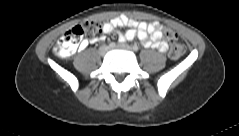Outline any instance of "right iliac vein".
Here are the masks:
<instances>
[{"mask_svg": "<svg viewBox=\"0 0 239 136\" xmlns=\"http://www.w3.org/2000/svg\"><path fill=\"white\" fill-rule=\"evenodd\" d=\"M109 47L108 46H101L100 48H99V54L101 55V56H105L106 55V53L109 51Z\"/></svg>", "mask_w": 239, "mask_h": 136, "instance_id": "right-iliac-vein-1", "label": "right iliac vein"}]
</instances>
